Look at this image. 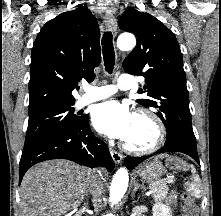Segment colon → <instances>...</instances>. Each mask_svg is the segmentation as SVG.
I'll return each mask as SVG.
<instances>
[{
    "instance_id": "colon-1",
    "label": "colon",
    "mask_w": 221,
    "mask_h": 216,
    "mask_svg": "<svg viewBox=\"0 0 221 216\" xmlns=\"http://www.w3.org/2000/svg\"><path fill=\"white\" fill-rule=\"evenodd\" d=\"M168 166L172 170H179L182 168V161L178 158H172L168 161ZM182 200L184 203V216H198V209L194 198L188 193H183Z\"/></svg>"
}]
</instances>
